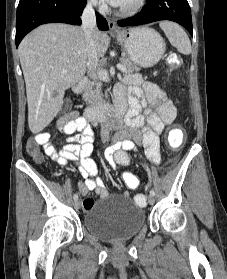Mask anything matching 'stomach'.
<instances>
[{"label":"stomach","mask_w":227,"mask_h":279,"mask_svg":"<svg viewBox=\"0 0 227 279\" xmlns=\"http://www.w3.org/2000/svg\"><path fill=\"white\" fill-rule=\"evenodd\" d=\"M116 39L129 60L140 67L156 65L165 53L161 35L149 27H136L116 33Z\"/></svg>","instance_id":"1"}]
</instances>
